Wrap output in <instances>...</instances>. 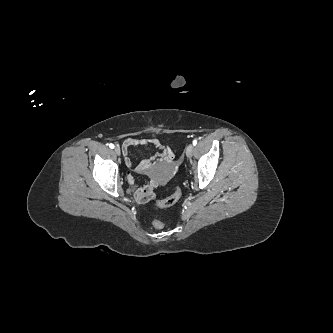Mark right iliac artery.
I'll return each instance as SVG.
<instances>
[{
	"label": "right iliac artery",
	"instance_id": "82829eb1",
	"mask_svg": "<svg viewBox=\"0 0 333 333\" xmlns=\"http://www.w3.org/2000/svg\"><path fill=\"white\" fill-rule=\"evenodd\" d=\"M109 147H110L111 149H113V148H114V145L111 143V144H109Z\"/></svg>",
	"mask_w": 333,
	"mask_h": 333
}]
</instances>
